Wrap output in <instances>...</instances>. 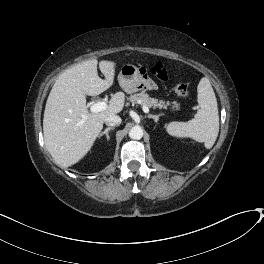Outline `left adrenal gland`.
Masks as SVG:
<instances>
[{"label":"left adrenal gland","instance_id":"left-adrenal-gland-1","mask_svg":"<svg viewBox=\"0 0 264 264\" xmlns=\"http://www.w3.org/2000/svg\"><path fill=\"white\" fill-rule=\"evenodd\" d=\"M159 116H161V114H158V115H152V114H149L147 117L148 118H152V119H154V122H158V120H159Z\"/></svg>","mask_w":264,"mask_h":264}]
</instances>
